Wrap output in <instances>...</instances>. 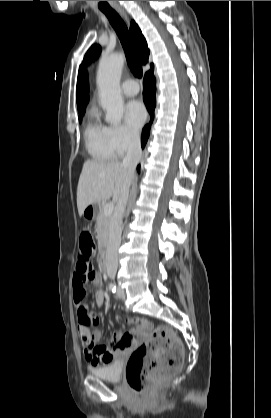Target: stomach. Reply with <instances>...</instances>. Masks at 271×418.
<instances>
[{"label":"stomach","instance_id":"stomach-1","mask_svg":"<svg viewBox=\"0 0 271 418\" xmlns=\"http://www.w3.org/2000/svg\"><path fill=\"white\" fill-rule=\"evenodd\" d=\"M99 208V203L90 204L84 209L83 216L85 217V219L93 221L98 214Z\"/></svg>","mask_w":271,"mask_h":418}]
</instances>
